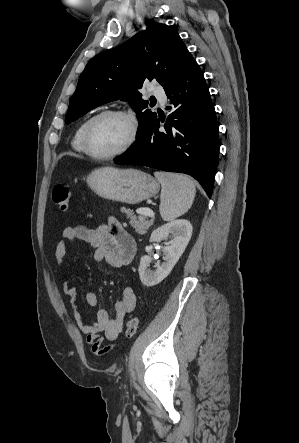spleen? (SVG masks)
Here are the masks:
<instances>
[{
  "mask_svg": "<svg viewBox=\"0 0 299 443\" xmlns=\"http://www.w3.org/2000/svg\"><path fill=\"white\" fill-rule=\"evenodd\" d=\"M161 183L160 214L164 221H173L191 207L196 188L194 182L183 175L154 173Z\"/></svg>",
  "mask_w": 299,
  "mask_h": 443,
  "instance_id": "1",
  "label": "spleen"
}]
</instances>
